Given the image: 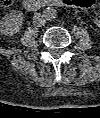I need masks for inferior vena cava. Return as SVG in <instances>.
Returning a JSON list of instances; mask_svg holds the SVG:
<instances>
[{
    "instance_id": "inferior-vena-cava-1",
    "label": "inferior vena cava",
    "mask_w": 100,
    "mask_h": 118,
    "mask_svg": "<svg viewBox=\"0 0 100 118\" xmlns=\"http://www.w3.org/2000/svg\"><path fill=\"white\" fill-rule=\"evenodd\" d=\"M33 24L37 27H42L46 24V19L40 13L33 16Z\"/></svg>"
}]
</instances>
